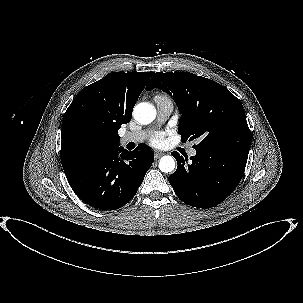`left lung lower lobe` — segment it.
<instances>
[{
  "mask_svg": "<svg viewBox=\"0 0 303 303\" xmlns=\"http://www.w3.org/2000/svg\"><path fill=\"white\" fill-rule=\"evenodd\" d=\"M196 150L188 163L177 152L176 171L169 176L176 195L186 204L211 208L225 200L239 184L249 150L205 147Z\"/></svg>",
  "mask_w": 303,
  "mask_h": 303,
  "instance_id": "obj_1",
  "label": "left lung lower lobe"
}]
</instances>
